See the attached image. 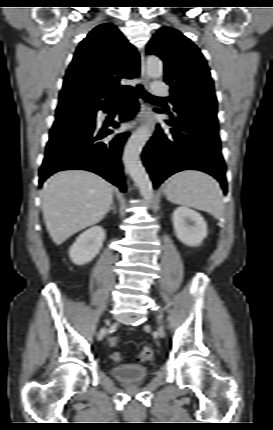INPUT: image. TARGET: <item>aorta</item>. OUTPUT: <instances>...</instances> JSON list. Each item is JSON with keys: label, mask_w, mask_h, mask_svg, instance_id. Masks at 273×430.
Returning <instances> with one entry per match:
<instances>
[{"label": "aorta", "mask_w": 273, "mask_h": 430, "mask_svg": "<svg viewBox=\"0 0 273 430\" xmlns=\"http://www.w3.org/2000/svg\"><path fill=\"white\" fill-rule=\"evenodd\" d=\"M146 66L147 73L151 78L162 77L163 63L158 57H148ZM149 132L148 126L143 125L132 134L125 146L123 160L125 169L138 186L141 196L144 200L152 202L154 198L152 182L140 160V154L148 140Z\"/></svg>", "instance_id": "1"}]
</instances>
